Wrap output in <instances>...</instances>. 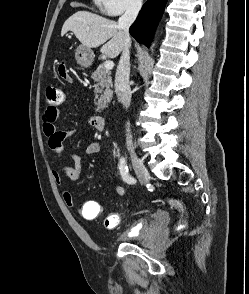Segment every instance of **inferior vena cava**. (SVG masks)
<instances>
[{"label": "inferior vena cava", "mask_w": 249, "mask_h": 294, "mask_svg": "<svg viewBox=\"0 0 249 294\" xmlns=\"http://www.w3.org/2000/svg\"><path fill=\"white\" fill-rule=\"evenodd\" d=\"M142 6V0H132L127 7L125 13L119 18L118 26L123 33L124 42L122 55L120 57L119 64L117 66L115 75V92L118 100L123 104L124 107L128 108L131 103V89L129 85L130 75V47L131 39L129 35V28L135 21L138 12ZM126 144L128 147L133 145L132 135L130 129V122L126 123Z\"/></svg>", "instance_id": "inferior-vena-cava-1"}]
</instances>
